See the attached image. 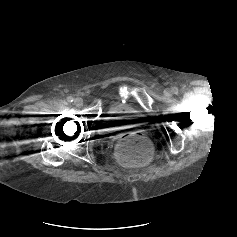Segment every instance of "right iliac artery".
<instances>
[{
    "instance_id": "82829eb1",
    "label": "right iliac artery",
    "mask_w": 237,
    "mask_h": 237,
    "mask_svg": "<svg viewBox=\"0 0 237 237\" xmlns=\"http://www.w3.org/2000/svg\"><path fill=\"white\" fill-rule=\"evenodd\" d=\"M67 101H68L69 103L73 102V97H72V96H68V97H67Z\"/></svg>"
}]
</instances>
